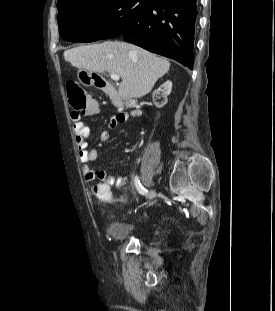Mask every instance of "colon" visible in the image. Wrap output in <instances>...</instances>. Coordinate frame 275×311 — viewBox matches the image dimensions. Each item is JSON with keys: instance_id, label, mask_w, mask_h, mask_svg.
Masks as SVG:
<instances>
[{"instance_id": "obj_1", "label": "colon", "mask_w": 275, "mask_h": 311, "mask_svg": "<svg viewBox=\"0 0 275 311\" xmlns=\"http://www.w3.org/2000/svg\"><path fill=\"white\" fill-rule=\"evenodd\" d=\"M66 91L72 109L76 112H85L90 116L91 113H97L98 108L93 97H88L86 91L75 82H69L66 85ZM93 197H98L99 202H110L114 189L113 183H94ZM127 194L125 191L122 193Z\"/></svg>"}]
</instances>
